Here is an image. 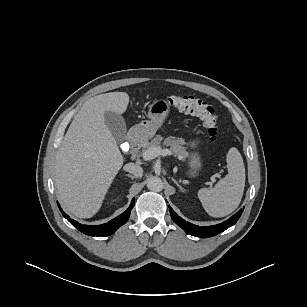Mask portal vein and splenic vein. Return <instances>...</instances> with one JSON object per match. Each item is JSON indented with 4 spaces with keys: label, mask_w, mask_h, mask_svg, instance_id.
Instances as JSON below:
<instances>
[{
    "label": "portal vein and splenic vein",
    "mask_w": 307,
    "mask_h": 307,
    "mask_svg": "<svg viewBox=\"0 0 307 307\" xmlns=\"http://www.w3.org/2000/svg\"><path fill=\"white\" fill-rule=\"evenodd\" d=\"M159 155H171V151L169 149H161V147L149 148L143 152V159L148 161L158 157Z\"/></svg>",
    "instance_id": "18ae733b"
}]
</instances>
